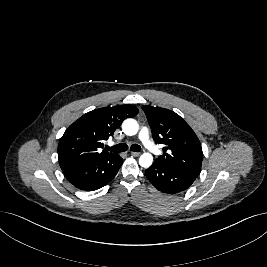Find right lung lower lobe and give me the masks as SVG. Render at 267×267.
Wrapping results in <instances>:
<instances>
[{
  "mask_svg": "<svg viewBox=\"0 0 267 267\" xmlns=\"http://www.w3.org/2000/svg\"><path fill=\"white\" fill-rule=\"evenodd\" d=\"M123 159L118 155L95 159L62 169L64 176L75 187L93 191L108 184L117 174Z\"/></svg>",
  "mask_w": 267,
  "mask_h": 267,
  "instance_id": "obj_1",
  "label": "right lung lower lobe"
}]
</instances>
